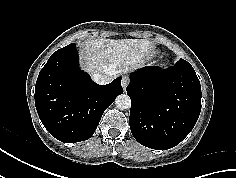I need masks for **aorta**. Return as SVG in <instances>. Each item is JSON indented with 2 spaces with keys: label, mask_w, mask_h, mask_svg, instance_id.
<instances>
[{
  "label": "aorta",
  "mask_w": 236,
  "mask_h": 178,
  "mask_svg": "<svg viewBox=\"0 0 236 178\" xmlns=\"http://www.w3.org/2000/svg\"><path fill=\"white\" fill-rule=\"evenodd\" d=\"M115 104L120 110L129 109L131 107V99L127 94H121L117 96Z\"/></svg>",
  "instance_id": "aorta-1"
}]
</instances>
